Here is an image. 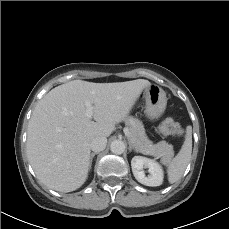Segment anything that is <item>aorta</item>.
<instances>
[{"label":"aorta","instance_id":"aorta-1","mask_svg":"<svg viewBox=\"0 0 229 229\" xmlns=\"http://www.w3.org/2000/svg\"><path fill=\"white\" fill-rule=\"evenodd\" d=\"M125 143L122 140H114L111 142L110 150L114 154H122L125 151Z\"/></svg>","mask_w":229,"mask_h":229}]
</instances>
